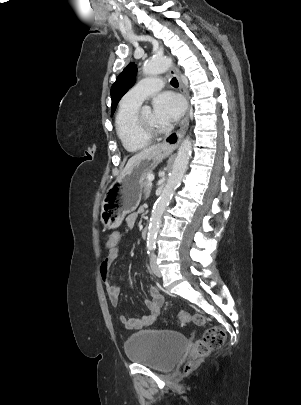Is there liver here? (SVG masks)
Masks as SVG:
<instances>
[{"label": "liver", "mask_w": 301, "mask_h": 405, "mask_svg": "<svg viewBox=\"0 0 301 405\" xmlns=\"http://www.w3.org/2000/svg\"><path fill=\"white\" fill-rule=\"evenodd\" d=\"M159 147H160L159 144L149 146V147L143 149L141 152H139V153L135 154L134 156H132L128 160L125 168L123 169V171L120 174V176L118 177V179H120L122 176H124L135 163H137L139 160L145 158L146 156H148L150 153H152L154 150H156Z\"/></svg>", "instance_id": "1"}]
</instances>
